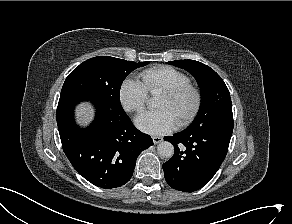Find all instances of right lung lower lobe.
Listing matches in <instances>:
<instances>
[{"label": "right lung lower lobe", "instance_id": "right-lung-lower-lobe-1", "mask_svg": "<svg viewBox=\"0 0 292 224\" xmlns=\"http://www.w3.org/2000/svg\"><path fill=\"white\" fill-rule=\"evenodd\" d=\"M89 100L96 116L90 126L82 129L74 121V109L79 102ZM56 115L67 158L80 175L100 188L126 184L139 154L153 145L152 138L136 129L123 109L81 95L60 96Z\"/></svg>", "mask_w": 292, "mask_h": 224}]
</instances>
